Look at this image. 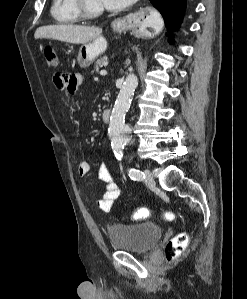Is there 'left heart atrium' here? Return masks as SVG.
Masks as SVG:
<instances>
[{"mask_svg":"<svg viewBox=\"0 0 247 299\" xmlns=\"http://www.w3.org/2000/svg\"><path fill=\"white\" fill-rule=\"evenodd\" d=\"M134 0H100L103 7L107 9H120L128 4H130Z\"/></svg>","mask_w":247,"mask_h":299,"instance_id":"1","label":"left heart atrium"}]
</instances>
